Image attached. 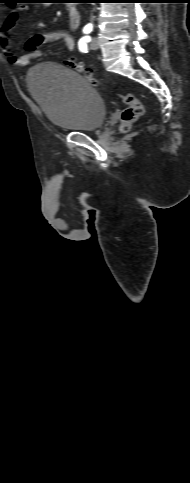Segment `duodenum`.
Masks as SVG:
<instances>
[{
  "label": "duodenum",
  "instance_id": "obj_1",
  "mask_svg": "<svg viewBox=\"0 0 190 483\" xmlns=\"http://www.w3.org/2000/svg\"><path fill=\"white\" fill-rule=\"evenodd\" d=\"M80 21V14L78 9L75 7H71L68 10V22L71 28H77Z\"/></svg>",
  "mask_w": 190,
  "mask_h": 483
}]
</instances>
